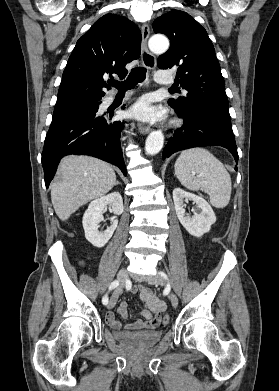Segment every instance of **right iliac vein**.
<instances>
[{"mask_svg":"<svg viewBox=\"0 0 279 391\" xmlns=\"http://www.w3.org/2000/svg\"><path fill=\"white\" fill-rule=\"evenodd\" d=\"M126 278H127V270L121 269L117 275V280H118L119 284H118L117 289L115 290V292L113 293V295L109 301V304H108L109 309L114 307L119 295L121 294V292L123 290Z\"/></svg>","mask_w":279,"mask_h":391,"instance_id":"obj_1","label":"right iliac vein"}]
</instances>
